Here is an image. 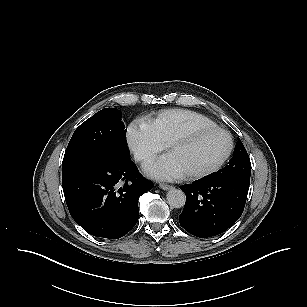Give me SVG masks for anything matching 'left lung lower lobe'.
Segmentation results:
<instances>
[{"mask_svg":"<svg viewBox=\"0 0 307 307\" xmlns=\"http://www.w3.org/2000/svg\"><path fill=\"white\" fill-rule=\"evenodd\" d=\"M249 184L250 178L205 177L181 186L186 203L179 216L180 225L201 238L222 233L242 215Z\"/></svg>","mask_w":307,"mask_h":307,"instance_id":"obj_1","label":"left lung lower lobe"}]
</instances>
